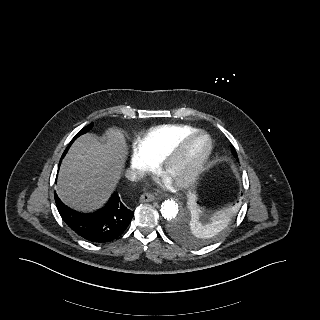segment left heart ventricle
Wrapping results in <instances>:
<instances>
[{
  "mask_svg": "<svg viewBox=\"0 0 320 320\" xmlns=\"http://www.w3.org/2000/svg\"><path fill=\"white\" fill-rule=\"evenodd\" d=\"M202 147L203 142L201 140L194 142L187 150L184 159L172 168L168 177L173 181L181 178L187 172L190 163L198 156Z\"/></svg>",
  "mask_w": 320,
  "mask_h": 320,
  "instance_id": "obj_1",
  "label": "left heart ventricle"
}]
</instances>
